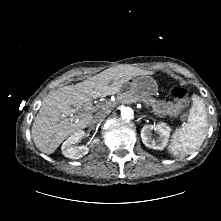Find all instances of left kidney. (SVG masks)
Masks as SVG:
<instances>
[{
    "label": "left kidney",
    "mask_w": 221,
    "mask_h": 221,
    "mask_svg": "<svg viewBox=\"0 0 221 221\" xmlns=\"http://www.w3.org/2000/svg\"><path fill=\"white\" fill-rule=\"evenodd\" d=\"M152 130H155L159 134V139L157 141L152 139ZM170 130V127L165 123H159L157 125H145L141 129L142 142L149 148L162 150L167 145Z\"/></svg>",
    "instance_id": "5707ae66"
}]
</instances>
